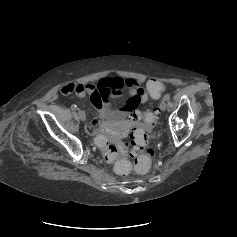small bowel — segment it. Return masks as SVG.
<instances>
[{"label": "small bowel", "mask_w": 237, "mask_h": 237, "mask_svg": "<svg viewBox=\"0 0 237 237\" xmlns=\"http://www.w3.org/2000/svg\"><path fill=\"white\" fill-rule=\"evenodd\" d=\"M124 87L129 90L130 98L122 107L114 110L108 98L120 97ZM61 93L64 95L75 94L79 97L90 96L97 116L86 125V131L89 134H97L101 129L121 123L149 98L140 82L135 79L124 80L120 77L103 78L96 83H70L61 88Z\"/></svg>", "instance_id": "small-bowel-1"}]
</instances>
